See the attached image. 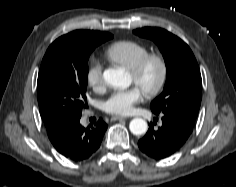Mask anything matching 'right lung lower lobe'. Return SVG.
Returning <instances> with one entry per match:
<instances>
[{
	"instance_id": "right-lung-lower-lobe-1",
	"label": "right lung lower lobe",
	"mask_w": 236,
	"mask_h": 187,
	"mask_svg": "<svg viewBox=\"0 0 236 187\" xmlns=\"http://www.w3.org/2000/svg\"><path fill=\"white\" fill-rule=\"evenodd\" d=\"M79 120L67 126L58 141L53 144L59 153L74 162H81L92 156L99 148L107 129L102 119L87 128H84Z\"/></svg>"
}]
</instances>
